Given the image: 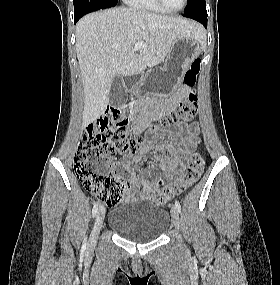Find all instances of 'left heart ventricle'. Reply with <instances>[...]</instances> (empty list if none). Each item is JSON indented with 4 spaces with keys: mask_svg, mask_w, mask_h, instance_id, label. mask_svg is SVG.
<instances>
[{
    "mask_svg": "<svg viewBox=\"0 0 280 285\" xmlns=\"http://www.w3.org/2000/svg\"><path fill=\"white\" fill-rule=\"evenodd\" d=\"M163 1L169 9H173V10L181 7L183 3V0H163Z\"/></svg>",
    "mask_w": 280,
    "mask_h": 285,
    "instance_id": "b2bd125f",
    "label": "left heart ventricle"
}]
</instances>
